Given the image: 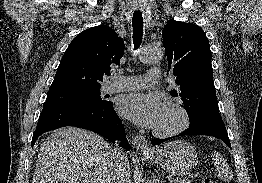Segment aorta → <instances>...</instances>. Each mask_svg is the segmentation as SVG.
Instances as JSON below:
<instances>
[{
	"label": "aorta",
	"instance_id": "762f6f07",
	"mask_svg": "<svg viewBox=\"0 0 262 183\" xmlns=\"http://www.w3.org/2000/svg\"><path fill=\"white\" fill-rule=\"evenodd\" d=\"M163 51L158 46H145L139 53V60L145 64L158 63L163 58Z\"/></svg>",
	"mask_w": 262,
	"mask_h": 183
}]
</instances>
